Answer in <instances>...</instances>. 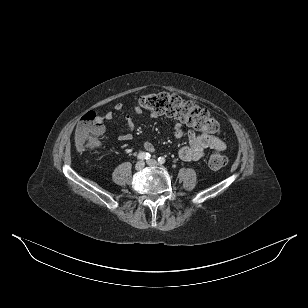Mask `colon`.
<instances>
[{
  "mask_svg": "<svg viewBox=\"0 0 308 308\" xmlns=\"http://www.w3.org/2000/svg\"><path fill=\"white\" fill-rule=\"evenodd\" d=\"M139 105L156 115L175 118L209 135L220 132L218 121L205 109L200 108L181 97L169 93H152L143 96ZM103 123L93 111L85 113L75 130V143L83 150H95L100 146L99 137L103 134ZM226 164L222 150H214L208 165L212 170H219Z\"/></svg>",
  "mask_w": 308,
  "mask_h": 308,
  "instance_id": "5ec220e1",
  "label": "colon"
}]
</instances>
